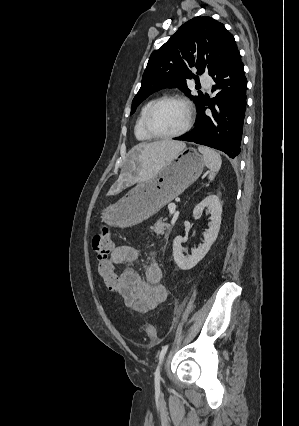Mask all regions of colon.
<instances>
[{
	"mask_svg": "<svg viewBox=\"0 0 299 426\" xmlns=\"http://www.w3.org/2000/svg\"><path fill=\"white\" fill-rule=\"evenodd\" d=\"M114 248V240L110 229L103 226L92 239V249L97 261L98 273L101 276L104 285L113 292L120 296V279L115 271L110 256ZM146 334L148 338L157 342L159 340V333L154 324L146 326Z\"/></svg>",
	"mask_w": 299,
	"mask_h": 426,
	"instance_id": "5ec220e1",
	"label": "colon"
}]
</instances>
